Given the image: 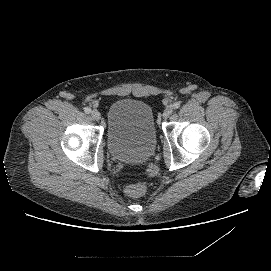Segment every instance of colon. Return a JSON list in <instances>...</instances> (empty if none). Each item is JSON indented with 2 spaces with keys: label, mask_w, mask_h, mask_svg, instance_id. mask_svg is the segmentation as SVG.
<instances>
[{
  "label": "colon",
  "mask_w": 271,
  "mask_h": 271,
  "mask_svg": "<svg viewBox=\"0 0 271 271\" xmlns=\"http://www.w3.org/2000/svg\"><path fill=\"white\" fill-rule=\"evenodd\" d=\"M147 190V184L145 182H137L128 185L125 188V193L130 198H138Z\"/></svg>",
  "instance_id": "colon-1"
}]
</instances>
